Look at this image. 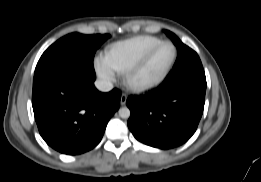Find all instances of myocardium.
<instances>
[{
  "label": "myocardium",
  "instance_id": "f54148a6",
  "mask_svg": "<svg viewBox=\"0 0 261 182\" xmlns=\"http://www.w3.org/2000/svg\"><path fill=\"white\" fill-rule=\"evenodd\" d=\"M171 46L173 49V58L169 63L168 67L164 72L157 77L156 79L146 82V83H137L134 81L135 75L145 66L151 56L161 47V46ZM178 51L176 46L170 41H161L151 47L146 53H144L132 66H130L124 73V83L132 91L143 92L150 90L158 85H160L170 74L173 69L175 62L177 60Z\"/></svg>",
  "mask_w": 261,
  "mask_h": 182
}]
</instances>
